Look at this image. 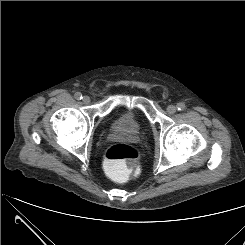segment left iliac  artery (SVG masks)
<instances>
[{
	"instance_id": "1",
	"label": "left iliac artery",
	"mask_w": 245,
	"mask_h": 245,
	"mask_svg": "<svg viewBox=\"0 0 245 245\" xmlns=\"http://www.w3.org/2000/svg\"><path fill=\"white\" fill-rule=\"evenodd\" d=\"M177 109H178L179 111H183V110L185 109V104H184V103H178V104H177Z\"/></svg>"
}]
</instances>
